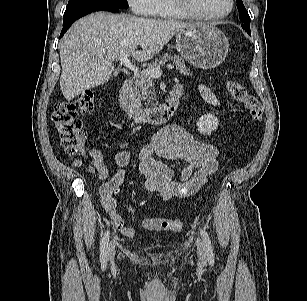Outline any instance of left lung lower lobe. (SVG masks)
I'll use <instances>...</instances> for the list:
<instances>
[{
	"mask_svg": "<svg viewBox=\"0 0 307 301\" xmlns=\"http://www.w3.org/2000/svg\"><path fill=\"white\" fill-rule=\"evenodd\" d=\"M249 35H251V33L250 32H248V31H246Z\"/></svg>",
	"mask_w": 307,
	"mask_h": 301,
	"instance_id": "left-lung-lower-lobe-1",
	"label": "left lung lower lobe"
}]
</instances>
